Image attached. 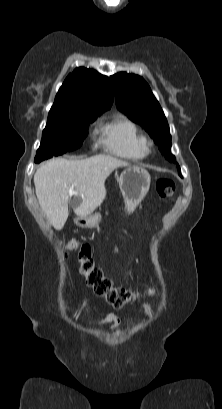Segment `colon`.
<instances>
[{"instance_id":"obj_1","label":"colon","mask_w":222,"mask_h":409,"mask_svg":"<svg viewBox=\"0 0 222 409\" xmlns=\"http://www.w3.org/2000/svg\"><path fill=\"white\" fill-rule=\"evenodd\" d=\"M176 186L169 178H160L156 182V191L163 200H168L175 193ZM67 252H74L79 262L80 273L93 291L106 299L114 308L120 309L135 301L140 296L125 288L115 286L102 270L95 264L90 247L76 240L67 241L64 245Z\"/></svg>"}]
</instances>
